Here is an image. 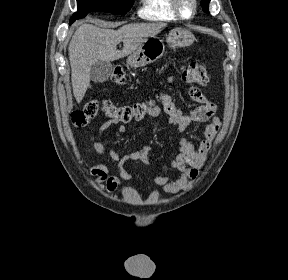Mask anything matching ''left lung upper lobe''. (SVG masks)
I'll return each instance as SVG.
<instances>
[{
    "label": "left lung upper lobe",
    "instance_id": "obj_1",
    "mask_svg": "<svg viewBox=\"0 0 288 280\" xmlns=\"http://www.w3.org/2000/svg\"><path fill=\"white\" fill-rule=\"evenodd\" d=\"M210 0H201V6L203 8V11L206 13H209L208 6H209Z\"/></svg>",
    "mask_w": 288,
    "mask_h": 280
}]
</instances>
